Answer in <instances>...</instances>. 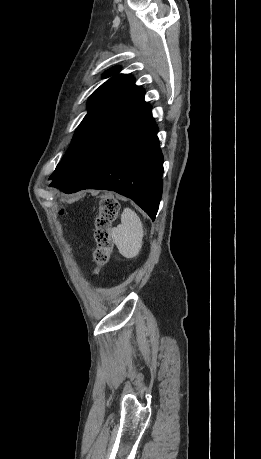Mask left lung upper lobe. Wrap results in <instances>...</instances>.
I'll return each mask as SVG.
<instances>
[{
	"instance_id": "5c2ea615",
	"label": "left lung upper lobe",
	"mask_w": 261,
	"mask_h": 459,
	"mask_svg": "<svg viewBox=\"0 0 261 459\" xmlns=\"http://www.w3.org/2000/svg\"><path fill=\"white\" fill-rule=\"evenodd\" d=\"M119 67L105 73L113 75L91 95L87 115L78 126L72 143L49 178L58 187L71 173L96 152L146 103L144 90L131 75L118 74Z\"/></svg>"
}]
</instances>
